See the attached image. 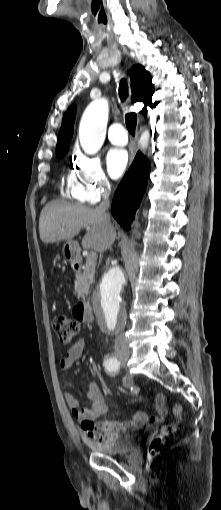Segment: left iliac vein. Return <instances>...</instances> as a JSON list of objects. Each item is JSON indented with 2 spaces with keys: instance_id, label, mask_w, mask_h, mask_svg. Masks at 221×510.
Instances as JSON below:
<instances>
[{
  "instance_id": "1",
  "label": "left iliac vein",
  "mask_w": 221,
  "mask_h": 510,
  "mask_svg": "<svg viewBox=\"0 0 221 510\" xmlns=\"http://www.w3.org/2000/svg\"><path fill=\"white\" fill-rule=\"evenodd\" d=\"M125 364H126V360L121 361L122 366H125Z\"/></svg>"
}]
</instances>
